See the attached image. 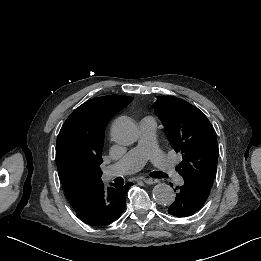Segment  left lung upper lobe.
<instances>
[{"mask_svg": "<svg viewBox=\"0 0 261 261\" xmlns=\"http://www.w3.org/2000/svg\"><path fill=\"white\" fill-rule=\"evenodd\" d=\"M154 109L172 147L182 153L183 160L176 168L179 174L211 188L219 148L207 117L197 107L173 96H158Z\"/></svg>", "mask_w": 261, "mask_h": 261, "instance_id": "1", "label": "left lung upper lobe"}]
</instances>
